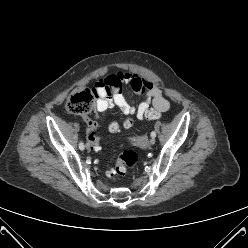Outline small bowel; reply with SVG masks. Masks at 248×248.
Returning <instances> with one entry per match:
<instances>
[{"mask_svg": "<svg viewBox=\"0 0 248 248\" xmlns=\"http://www.w3.org/2000/svg\"><path fill=\"white\" fill-rule=\"evenodd\" d=\"M124 85H129L136 94H144L145 98L138 106L124 97ZM95 87L98 92L95 102V119L84 118L88 128L95 130L98 127L97 119L100 114L113 106H117L125 115L136 114L139 120L145 119L146 113L151 109L162 113L170 106L162 95L160 85L140 75L119 71L116 74L106 75Z\"/></svg>", "mask_w": 248, "mask_h": 248, "instance_id": "small-bowel-1", "label": "small bowel"}]
</instances>
